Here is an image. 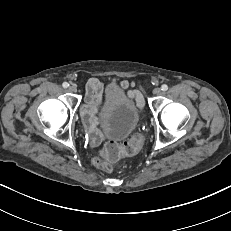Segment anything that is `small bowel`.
I'll return each mask as SVG.
<instances>
[{
    "label": "small bowel",
    "mask_w": 231,
    "mask_h": 231,
    "mask_svg": "<svg viewBox=\"0 0 231 231\" xmlns=\"http://www.w3.org/2000/svg\"><path fill=\"white\" fill-rule=\"evenodd\" d=\"M121 86L128 90L130 98L134 99L139 106H142V94L134 89V84L132 82L122 81ZM103 89V83L96 78L90 79L86 85L85 104L82 108L81 114L83 122L89 132L92 145H97L102 140V135L97 129L98 120L95 114L102 103Z\"/></svg>",
    "instance_id": "1"
}]
</instances>
